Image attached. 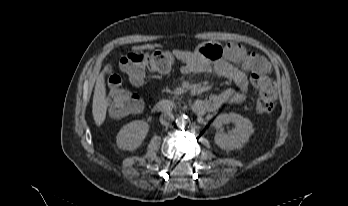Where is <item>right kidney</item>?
<instances>
[{
    "label": "right kidney",
    "mask_w": 348,
    "mask_h": 206,
    "mask_svg": "<svg viewBox=\"0 0 348 206\" xmlns=\"http://www.w3.org/2000/svg\"><path fill=\"white\" fill-rule=\"evenodd\" d=\"M149 125L143 120H135L124 125L117 134V146L123 150H135L147 136Z\"/></svg>",
    "instance_id": "obj_1"
}]
</instances>
